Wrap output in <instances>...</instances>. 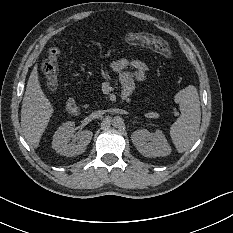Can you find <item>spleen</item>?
<instances>
[{"label": "spleen", "instance_id": "obj_1", "mask_svg": "<svg viewBox=\"0 0 233 233\" xmlns=\"http://www.w3.org/2000/svg\"><path fill=\"white\" fill-rule=\"evenodd\" d=\"M179 103L180 117L172 124L170 136L179 153L189 150L197 140L201 110L198 91L195 86L189 85L176 95Z\"/></svg>", "mask_w": 233, "mask_h": 233}]
</instances>
